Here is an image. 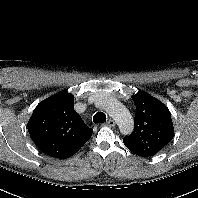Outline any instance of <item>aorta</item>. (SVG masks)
<instances>
[{
  "label": "aorta",
  "mask_w": 198,
  "mask_h": 198,
  "mask_svg": "<svg viewBox=\"0 0 198 198\" xmlns=\"http://www.w3.org/2000/svg\"><path fill=\"white\" fill-rule=\"evenodd\" d=\"M103 109L115 120L122 134L128 135L133 131L134 123L129 110L114 99H104Z\"/></svg>",
  "instance_id": "762f6f07"
}]
</instances>
